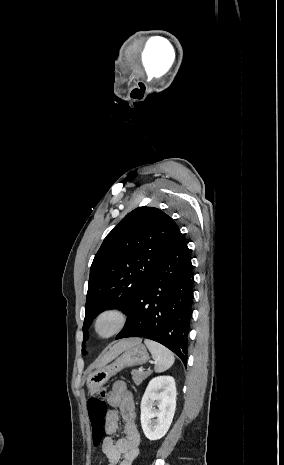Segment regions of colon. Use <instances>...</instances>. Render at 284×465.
<instances>
[{"instance_id": "colon-1", "label": "colon", "mask_w": 284, "mask_h": 465, "mask_svg": "<svg viewBox=\"0 0 284 465\" xmlns=\"http://www.w3.org/2000/svg\"><path fill=\"white\" fill-rule=\"evenodd\" d=\"M106 391L104 388H100L91 393L88 399V412H89V422H90V437L91 438H104L105 430H108L109 424L106 421V402L104 397ZM96 447L101 445L99 440L94 442Z\"/></svg>"}]
</instances>
